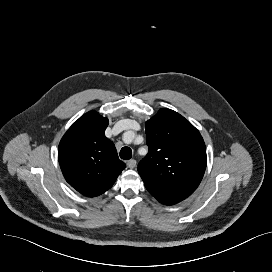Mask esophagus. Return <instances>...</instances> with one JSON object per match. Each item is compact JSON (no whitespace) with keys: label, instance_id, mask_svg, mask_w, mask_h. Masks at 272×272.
<instances>
[{"label":"esophagus","instance_id":"obj_1","mask_svg":"<svg viewBox=\"0 0 272 272\" xmlns=\"http://www.w3.org/2000/svg\"><path fill=\"white\" fill-rule=\"evenodd\" d=\"M127 166H128V168H130V169L135 168V167H136V160H134V159L129 160V161L127 162Z\"/></svg>","mask_w":272,"mask_h":272}]
</instances>
